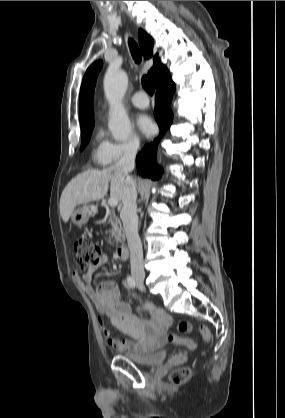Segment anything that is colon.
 Instances as JSON below:
<instances>
[{"instance_id":"1","label":"colon","mask_w":285,"mask_h":418,"mask_svg":"<svg viewBox=\"0 0 285 418\" xmlns=\"http://www.w3.org/2000/svg\"><path fill=\"white\" fill-rule=\"evenodd\" d=\"M75 258L80 267H87L99 260V252L95 245L87 238H79L75 241ZM192 326L186 321H180L177 324L176 330L167 335V340L171 343H180L189 345L188 338L180 337L181 334L190 333ZM199 332L205 342L211 341V332L208 327L201 326ZM190 377V369L180 368L171 373V380L174 384H182Z\"/></svg>"}]
</instances>
